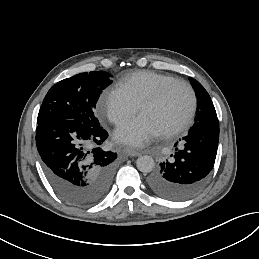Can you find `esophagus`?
<instances>
[{"label": "esophagus", "mask_w": 259, "mask_h": 259, "mask_svg": "<svg viewBox=\"0 0 259 259\" xmlns=\"http://www.w3.org/2000/svg\"><path fill=\"white\" fill-rule=\"evenodd\" d=\"M126 153L128 156H133V157H137L140 155V153L134 149L131 148H126Z\"/></svg>", "instance_id": "34e87169"}]
</instances>
